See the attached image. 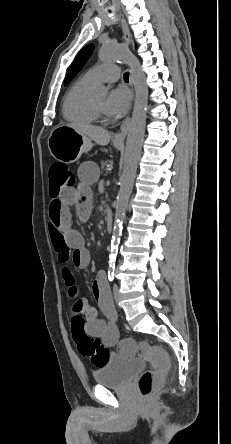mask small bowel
Returning <instances> with one entry per match:
<instances>
[{"label": "small bowel", "mask_w": 231, "mask_h": 444, "mask_svg": "<svg viewBox=\"0 0 231 444\" xmlns=\"http://www.w3.org/2000/svg\"><path fill=\"white\" fill-rule=\"evenodd\" d=\"M79 186L67 188L57 200L49 205V234L59 260L64 264L62 277L67 288L68 297L72 301L71 312L79 313L85 319L84 329L94 338L100 339L104 345L114 346L119 340V328L112 319H102L98 310L78 298L75 279L68 265L83 269L90 263V252L85 246L84 237L71 227L70 207L74 206L80 220L86 221L91 212L90 185L99 178V171L93 162H83L77 171ZM93 294L99 306L113 314L110 291L103 274H99L93 283Z\"/></svg>", "instance_id": "c3829d8e"}]
</instances>
